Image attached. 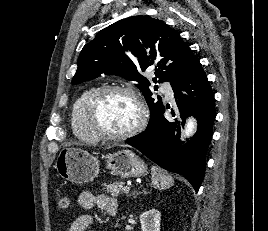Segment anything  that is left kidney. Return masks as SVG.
I'll use <instances>...</instances> for the list:
<instances>
[{"label":"left kidney","mask_w":268,"mask_h":231,"mask_svg":"<svg viewBox=\"0 0 268 231\" xmlns=\"http://www.w3.org/2000/svg\"><path fill=\"white\" fill-rule=\"evenodd\" d=\"M161 213L156 209L143 212L140 216L142 231H160Z\"/></svg>","instance_id":"5707ae66"}]
</instances>
